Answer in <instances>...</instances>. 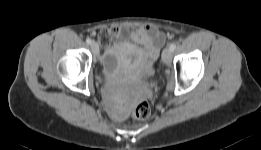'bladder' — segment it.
I'll use <instances>...</instances> for the list:
<instances>
[{"mask_svg": "<svg viewBox=\"0 0 261 150\" xmlns=\"http://www.w3.org/2000/svg\"><path fill=\"white\" fill-rule=\"evenodd\" d=\"M124 50L123 46H113L105 51L102 58V68L105 73L114 72L120 68Z\"/></svg>", "mask_w": 261, "mask_h": 150, "instance_id": "bladder-1", "label": "bladder"}]
</instances>
